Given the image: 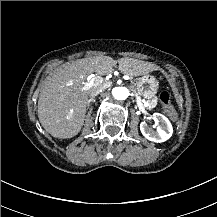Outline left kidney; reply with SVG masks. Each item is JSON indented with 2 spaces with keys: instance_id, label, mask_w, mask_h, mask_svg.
Wrapping results in <instances>:
<instances>
[{
  "instance_id": "1",
  "label": "left kidney",
  "mask_w": 217,
  "mask_h": 217,
  "mask_svg": "<svg viewBox=\"0 0 217 217\" xmlns=\"http://www.w3.org/2000/svg\"><path fill=\"white\" fill-rule=\"evenodd\" d=\"M153 120L157 123L156 130L150 127L146 122H141L140 130L143 136L153 142H164L168 140L173 133L169 119L160 113H154Z\"/></svg>"
}]
</instances>
